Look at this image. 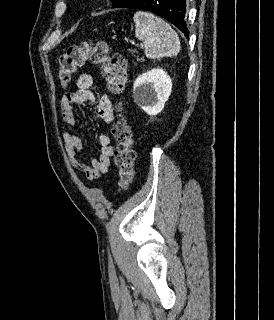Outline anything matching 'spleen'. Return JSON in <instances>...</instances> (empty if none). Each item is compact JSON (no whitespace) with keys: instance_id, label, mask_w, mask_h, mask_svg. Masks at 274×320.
Wrapping results in <instances>:
<instances>
[{"instance_id":"1","label":"spleen","mask_w":274,"mask_h":320,"mask_svg":"<svg viewBox=\"0 0 274 320\" xmlns=\"http://www.w3.org/2000/svg\"><path fill=\"white\" fill-rule=\"evenodd\" d=\"M134 22L135 38L142 40L146 58H172L179 54L180 40L164 20L148 12H136Z\"/></svg>"}]
</instances>
